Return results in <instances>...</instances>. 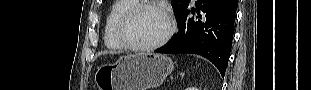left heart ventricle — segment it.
Listing matches in <instances>:
<instances>
[{
	"instance_id": "1",
	"label": "left heart ventricle",
	"mask_w": 311,
	"mask_h": 90,
	"mask_svg": "<svg viewBox=\"0 0 311 90\" xmlns=\"http://www.w3.org/2000/svg\"><path fill=\"white\" fill-rule=\"evenodd\" d=\"M167 22L163 14L153 8L140 10L130 21L126 34L136 45H150L163 37Z\"/></svg>"
}]
</instances>
